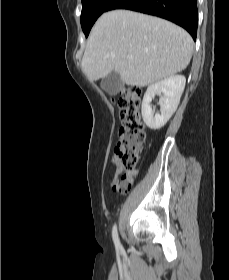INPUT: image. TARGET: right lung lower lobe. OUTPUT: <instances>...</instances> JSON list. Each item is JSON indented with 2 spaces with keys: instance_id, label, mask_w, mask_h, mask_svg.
<instances>
[{
  "instance_id": "obj_1",
  "label": "right lung lower lobe",
  "mask_w": 229,
  "mask_h": 280,
  "mask_svg": "<svg viewBox=\"0 0 229 280\" xmlns=\"http://www.w3.org/2000/svg\"><path fill=\"white\" fill-rule=\"evenodd\" d=\"M114 9H128L167 19L186 29L196 39L197 0H114L106 11Z\"/></svg>"
}]
</instances>
